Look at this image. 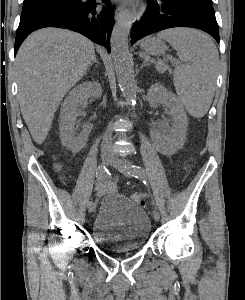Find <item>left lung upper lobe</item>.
<instances>
[{"label": "left lung upper lobe", "mask_w": 245, "mask_h": 300, "mask_svg": "<svg viewBox=\"0 0 245 300\" xmlns=\"http://www.w3.org/2000/svg\"><path fill=\"white\" fill-rule=\"evenodd\" d=\"M205 2L211 3L212 4V0H203Z\"/></svg>", "instance_id": "left-lung-upper-lobe-1"}]
</instances>
